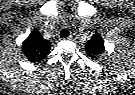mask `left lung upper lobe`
Instances as JSON below:
<instances>
[{"label":"left lung upper lobe","mask_w":135,"mask_h":95,"mask_svg":"<svg viewBox=\"0 0 135 95\" xmlns=\"http://www.w3.org/2000/svg\"><path fill=\"white\" fill-rule=\"evenodd\" d=\"M85 50L92 59H98L105 52L104 41L98 32L86 42Z\"/></svg>","instance_id":"obj_1"}]
</instances>
